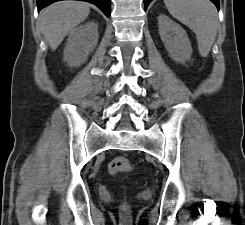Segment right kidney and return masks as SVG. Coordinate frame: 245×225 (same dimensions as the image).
I'll list each match as a JSON object with an SVG mask.
<instances>
[{"label": "right kidney", "mask_w": 245, "mask_h": 225, "mask_svg": "<svg viewBox=\"0 0 245 225\" xmlns=\"http://www.w3.org/2000/svg\"><path fill=\"white\" fill-rule=\"evenodd\" d=\"M98 24L87 22L71 31L64 48V60L70 67H79L98 43Z\"/></svg>", "instance_id": "obj_1"}]
</instances>
